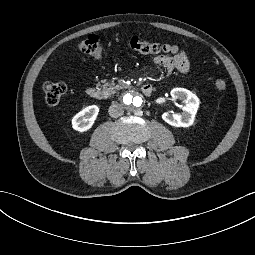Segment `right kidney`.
Here are the masks:
<instances>
[{
  "instance_id": "obj_1",
  "label": "right kidney",
  "mask_w": 255,
  "mask_h": 255,
  "mask_svg": "<svg viewBox=\"0 0 255 255\" xmlns=\"http://www.w3.org/2000/svg\"><path fill=\"white\" fill-rule=\"evenodd\" d=\"M99 108L96 105H91L84 108L72 119V126L75 130L84 132L90 129L96 120Z\"/></svg>"
}]
</instances>
